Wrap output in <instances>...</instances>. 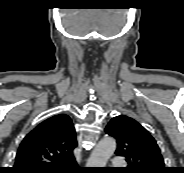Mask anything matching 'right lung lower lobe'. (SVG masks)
Segmentation results:
<instances>
[{"instance_id":"obj_1","label":"right lung lower lobe","mask_w":184,"mask_h":173,"mask_svg":"<svg viewBox=\"0 0 184 173\" xmlns=\"http://www.w3.org/2000/svg\"><path fill=\"white\" fill-rule=\"evenodd\" d=\"M76 163H73L67 167H64L60 171H57L56 173H80L82 170H79L77 167H74Z\"/></svg>"}]
</instances>
